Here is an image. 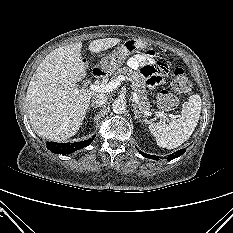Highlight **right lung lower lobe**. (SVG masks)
Returning a JSON list of instances; mask_svg holds the SVG:
<instances>
[{
	"instance_id": "obj_1",
	"label": "right lung lower lobe",
	"mask_w": 233,
	"mask_h": 233,
	"mask_svg": "<svg viewBox=\"0 0 233 233\" xmlns=\"http://www.w3.org/2000/svg\"><path fill=\"white\" fill-rule=\"evenodd\" d=\"M95 136L92 138L81 141V142H74V143H55V142H48L47 148L55 153V154H71L72 152L79 150L81 148H84L88 146L94 139Z\"/></svg>"
}]
</instances>
